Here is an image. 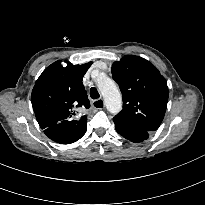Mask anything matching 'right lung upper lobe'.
<instances>
[{
  "label": "right lung upper lobe",
  "mask_w": 205,
  "mask_h": 205,
  "mask_svg": "<svg viewBox=\"0 0 205 205\" xmlns=\"http://www.w3.org/2000/svg\"><path fill=\"white\" fill-rule=\"evenodd\" d=\"M90 65L67 62L63 67L60 60L56 61L42 72L32 90V106L40 127H56L55 135L65 143L77 141L87 129V117L74 116L81 108L90 107L82 83Z\"/></svg>",
  "instance_id": "1"
}]
</instances>
